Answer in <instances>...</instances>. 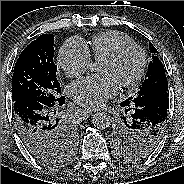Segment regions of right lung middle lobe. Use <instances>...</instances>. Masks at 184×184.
<instances>
[{
  "label": "right lung middle lobe",
  "instance_id": "1",
  "mask_svg": "<svg viewBox=\"0 0 184 184\" xmlns=\"http://www.w3.org/2000/svg\"><path fill=\"white\" fill-rule=\"evenodd\" d=\"M54 36L43 34L19 55L12 76V102L34 99L51 102L61 93L54 63ZM56 139L30 152L43 163L63 161L74 148L75 131L68 124L57 130ZM64 155V156H63Z\"/></svg>",
  "mask_w": 184,
  "mask_h": 184
}]
</instances>
